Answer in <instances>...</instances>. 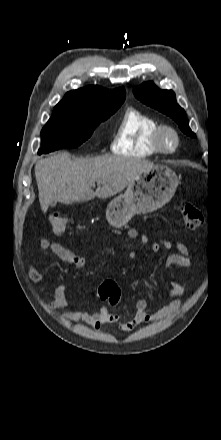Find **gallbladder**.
<instances>
[{
    "instance_id": "gallbladder-1",
    "label": "gallbladder",
    "mask_w": 221,
    "mask_h": 440,
    "mask_svg": "<svg viewBox=\"0 0 221 440\" xmlns=\"http://www.w3.org/2000/svg\"><path fill=\"white\" fill-rule=\"evenodd\" d=\"M56 203H57V202L53 201V202L50 203V206H51V207H55V206H56Z\"/></svg>"
}]
</instances>
